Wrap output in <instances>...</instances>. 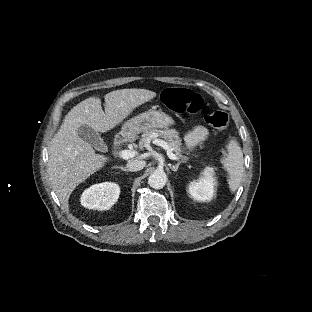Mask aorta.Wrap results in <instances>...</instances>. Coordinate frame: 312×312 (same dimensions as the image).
I'll return each instance as SVG.
<instances>
[{
  "instance_id": "obj_1",
  "label": "aorta",
  "mask_w": 312,
  "mask_h": 312,
  "mask_svg": "<svg viewBox=\"0 0 312 312\" xmlns=\"http://www.w3.org/2000/svg\"><path fill=\"white\" fill-rule=\"evenodd\" d=\"M167 176L162 171H155L148 178V184L154 189H161L165 186Z\"/></svg>"
}]
</instances>
